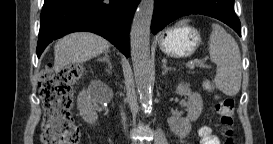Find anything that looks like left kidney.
Instances as JSON below:
<instances>
[{
  "label": "left kidney",
  "instance_id": "1",
  "mask_svg": "<svg viewBox=\"0 0 273 144\" xmlns=\"http://www.w3.org/2000/svg\"><path fill=\"white\" fill-rule=\"evenodd\" d=\"M176 93L179 95L188 96L186 118L172 117L169 120L170 129L179 138H185L191 131V122L196 121L203 109V100L198 93H194L189 88L188 84L179 83L176 88Z\"/></svg>",
  "mask_w": 273,
  "mask_h": 144
}]
</instances>
